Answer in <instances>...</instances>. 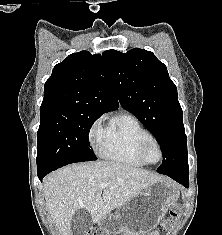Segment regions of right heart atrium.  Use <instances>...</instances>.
<instances>
[{"label":"right heart atrium","mask_w":222,"mask_h":235,"mask_svg":"<svg viewBox=\"0 0 222 235\" xmlns=\"http://www.w3.org/2000/svg\"><path fill=\"white\" fill-rule=\"evenodd\" d=\"M102 134H103L102 118H98L97 120H95V122L92 124L89 130L90 142L94 145L99 144Z\"/></svg>","instance_id":"d8ad5b80"}]
</instances>
